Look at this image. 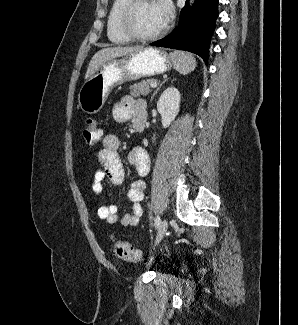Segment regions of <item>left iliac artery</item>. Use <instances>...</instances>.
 Wrapping results in <instances>:
<instances>
[{
	"instance_id": "obj_1",
	"label": "left iliac artery",
	"mask_w": 298,
	"mask_h": 325,
	"mask_svg": "<svg viewBox=\"0 0 298 325\" xmlns=\"http://www.w3.org/2000/svg\"><path fill=\"white\" fill-rule=\"evenodd\" d=\"M159 224H160V217L157 216V217L155 218V227H158Z\"/></svg>"
}]
</instances>
